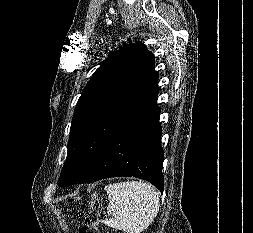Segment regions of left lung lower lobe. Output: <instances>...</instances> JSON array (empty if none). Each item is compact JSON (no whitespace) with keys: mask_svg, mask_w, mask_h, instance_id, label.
Wrapping results in <instances>:
<instances>
[{"mask_svg":"<svg viewBox=\"0 0 253 233\" xmlns=\"http://www.w3.org/2000/svg\"><path fill=\"white\" fill-rule=\"evenodd\" d=\"M156 83L118 123L90 170L77 183L134 176L149 181L163 192L164 154L160 146L159 90Z\"/></svg>","mask_w":253,"mask_h":233,"instance_id":"obj_1","label":"left lung lower lobe"}]
</instances>
